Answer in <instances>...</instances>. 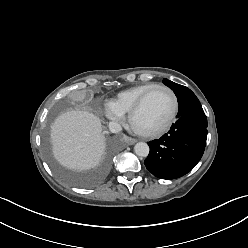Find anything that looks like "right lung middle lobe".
<instances>
[{"instance_id":"dd1d6c3e","label":"right lung middle lobe","mask_w":248,"mask_h":248,"mask_svg":"<svg viewBox=\"0 0 248 248\" xmlns=\"http://www.w3.org/2000/svg\"><path fill=\"white\" fill-rule=\"evenodd\" d=\"M45 150L55 173L64 181L76 186H90L99 182L108 171L114 155V149L110 148L97 169L86 173H77L66 169L52 157L48 139L45 140Z\"/></svg>"}]
</instances>
